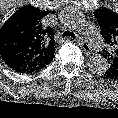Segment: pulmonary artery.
I'll return each mask as SVG.
<instances>
[{"label": "pulmonary artery", "mask_w": 118, "mask_h": 118, "mask_svg": "<svg viewBox=\"0 0 118 118\" xmlns=\"http://www.w3.org/2000/svg\"><path fill=\"white\" fill-rule=\"evenodd\" d=\"M86 34L88 36V42L90 43V45L95 49L100 50L102 48V39L92 24L88 25Z\"/></svg>", "instance_id": "1"}]
</instances>
